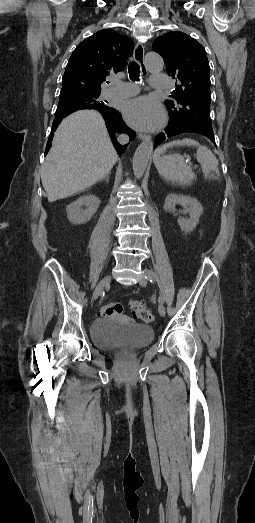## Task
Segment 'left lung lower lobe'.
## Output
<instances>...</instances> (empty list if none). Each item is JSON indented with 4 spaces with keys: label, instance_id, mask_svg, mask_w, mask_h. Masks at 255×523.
Instances as JSON below:
<instances>
[{
    "label": "left lung lower lobe",
    "instance_id": "0a47b994",
    "mask_svg": "<svg viewBox=\"0 0 255 523\" xmlns=\"http://www.w3.org/2000/svg\"><path fill=\"white\" fill-rule=\"evenodd\" d=\"M184 130L196 132V135L194 136H198V132H200V136H205L206 134V137H209V140H211V145H216L217 134H210V132L204 130V127H199L197 125H178V123H176L174 127L168 126L166 129H162V131H160V137H155V140L157 141L152 144V147L157 149L159 146L163 145V140H167V137H175L176 134H182V131Z\"/></svg>",
    "mask_w": 255,
    "mask_h": 523
}]
</instances>
